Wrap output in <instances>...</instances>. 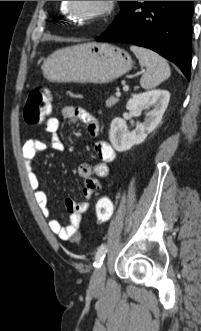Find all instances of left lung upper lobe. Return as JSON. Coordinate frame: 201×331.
I'll return each mask as SVG.
<instances>
[{
	"mask_svg": "<svg viewBox=\"0 0 201 331\" xmlns=\"http://www.w3.org/2000/svg\"><path fill=\"white\" fill-rule=\"evenodd\" d=\"M123 1H118V3L121 5Z\"/></svg>",
	"mask_w": 201,
	"mask_h": 331,
	"instance_id": "5c2ea615",
	"label": "left lung upper lobe"
}]
</instances>
